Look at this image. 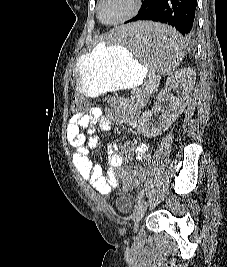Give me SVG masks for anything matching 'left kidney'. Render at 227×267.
I'll return each mask as SVG.
<instances>
[{"mask_svg":"<svg viewBox=\"0 0 227 267\" xmlns=\"http://www.w3.org/2000/svg\"><path fill=\"white\" fill-rule=\"evenodd\" d=\"M195 71L191 68H182L174 72L173 77H168L165 87L159 93L157 99L160 101L164 95L176 90L177 95L170 96L167 107L161 109L157 120L151 121L153 113L146 110L139 120V130L146 137H155L166 131L178 116L184 111L189 102L195 85Z\"/></svg>","mask_w":227,"mask_h":267,"instance_id":"obj_1","label":"left kidney"}]
</instances>
